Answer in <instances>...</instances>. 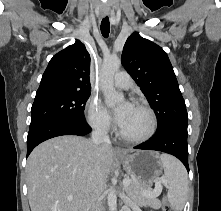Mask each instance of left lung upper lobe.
<instances>
[{
    "label": "left lung upper lobe",
    "instance_id": "5c2ea615",
    "mask_svg": "<svg viewBox=\"0 0 221 211\" xmlns=\"http://www.w3.org/2000/svg\"><path fill=\"white\" fill-rule=\"evenodd\" d=\"M122 63L153 108L158 130L188 121L173 67L160 46L133 33L124 45Z\"/></svg>",
    "mask_w": 221,
    "mask_h": 211
}]
</instances>
